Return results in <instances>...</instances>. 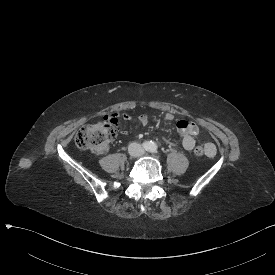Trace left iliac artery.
<instances>
[{"label":"left iliac artery","instance_id":"left-iliac-artery-1","mask_svg":"<svg viewBox=\"0 0 275 275\" xmlns=\"http://www.w3.org/2000/svg\"><path fill=\"white\" fill-rule=\"evenodd\" d=\"M149 151L152 152V153H156L157 152V145L155 143H152Z\"/></svg>","mask_w":275,"mask_h":275}]
</instances>
